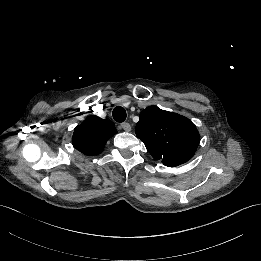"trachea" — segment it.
Wrapping results in <instances>:
<instances>
[{"label":"trachea","mask_w":261,"mask_h":261,"mask_svg":"<svg viewBox=\"0 0 261 261\" xmlns=\"http://www.w3.org/2000/svg\"><path fill=\"white\" fill-rule=\"evenodd\" d=\"M113 118L115 121L121 123L123 121H125L126 119V110L121 107V106H117L113 109Z\"/></svg>","instance_id":"trachea-1"}]
</instances>
